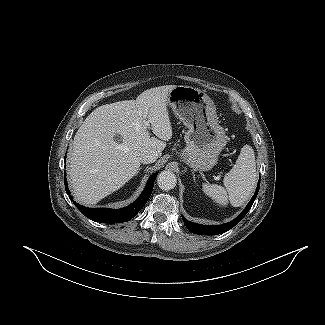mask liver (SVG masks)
Wrapping results in <instances>:
<instances>
[{"instance_id":"liver-1","label":"liver","mask_w":325,"mask_h":325,"mask_svg":"<svg viewBox=\"0 0 325 325\" xmlns=\"http://www.w3.org/2000/svg\"><path fill=\"white\" fill-rule=\"evenodd\" d=\"M175 87L147 89L136 100L102 105L90 113L69 154L70 187L78 202L93 205L120 189L136 175L144 151L161 156L172 138L167 99ZM144 118L158 138L150 136Z\"/></svg>"}]
</instances>
